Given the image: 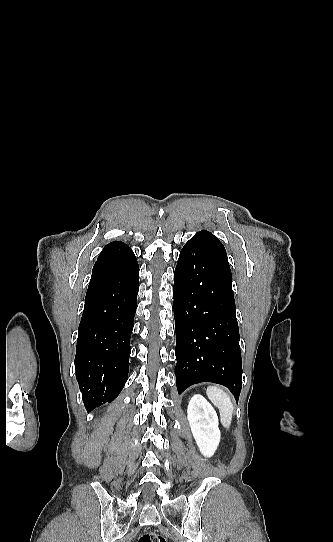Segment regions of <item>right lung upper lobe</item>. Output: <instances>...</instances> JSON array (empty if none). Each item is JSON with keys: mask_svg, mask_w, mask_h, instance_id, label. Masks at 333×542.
I'll return each mask as SVG.
<instances>
[{"mask_svg": "<svg viewBox=\"0 0 333 542\" xmlns=\"http://www.w3.org/2000/svg\"><path fill=\"white\" fill-rule=\"evenodd\" d=\"M117 242H119V241H117ZM117 242H112V243H110V244L117 243Z\"/></svg>", "mask_w": 333, "mask_h": 542, "instance_id": "obj_1", "label": "right lung upper lobe"}]
</instances>
